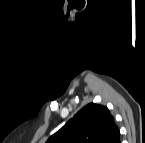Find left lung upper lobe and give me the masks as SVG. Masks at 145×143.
Here are the masks:
<instances>
[{
	"label": "left lung upper lobe",
	"mask_w": 145,
	"mask_h": 143,
	"mask_svg": "<svg viewBox=\"0 0 145 143\" xmlns=\"http://www.w3.org/2000/svg\"><path fill=\"white\" fill-rule=\"evenodd\" d=\"M120 132L108 108L90 103L47 143H119Z\"/></svg>",
	"instance_id": "obj_1"
}]
</instances>
